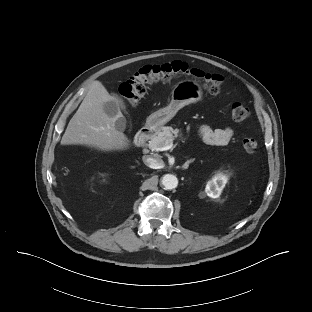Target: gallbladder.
Instances as JSON below:
<instances>
[{
  "instance_id": "gallbladder-1",
  "label": "gallbladder",
  "mask_w": 312,
  "mask_h": 312,
  "mask_svg": "<svg viewBox=\"0 0 312 312\" xmlns=\"http://www.w3.org/2000/svg\"><path fill=\"white\" fill-rule=\"evenodd\" d=\"M125 113L126 106L123 99L120 96H115V100L104 103V111L109 117H117L116 128L120 131L125 129L126 120L123 116L118 117L120 111Z\"/></svg>"
}]
</instances>
